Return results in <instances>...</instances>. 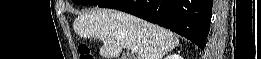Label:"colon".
<instances>
[{
  "instance_id": "1",
  "label": "colon",
  "mask_w": 261,
  "mask_h": 59,
  "mask_svg": "<svg viewBox=\"0 0 261 59\" xmlns=\"http://www.w3.org/2000/svg\"><path fill=\"white\" fill-rule=\"evenodd\" d=\"M79 57L80 59H94L89 47L81 46L79 48Z\"/></svg>"
}]
</instances>
